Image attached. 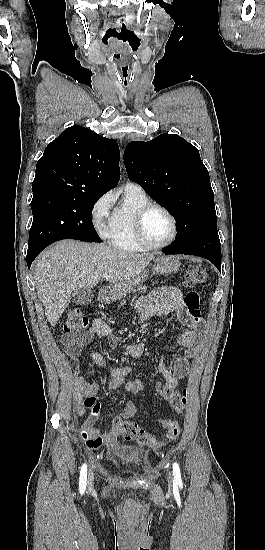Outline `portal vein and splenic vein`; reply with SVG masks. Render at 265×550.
<instances>
[{"mask_svg": "<svg viewBox=\"0 0 265 550\" xmlns=\"http://www.w3.org/2000/svg\"><path fill=\"white\" fill-rule=\"evenodd\" d=\"M102 277H103L104 279L107 278V273H104V274L102 275Z\"/></svg>", "mask_w": 265, "mask_h": 550, "instance_id": "obj_1", "label": "portal vein and splenic vein"}]
</instances>
